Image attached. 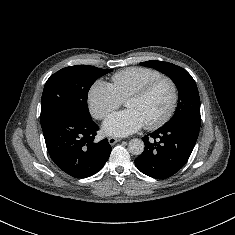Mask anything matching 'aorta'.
I'll return each mask as SVG.
<instances>
[{
    "instance_id": "obj_1",
    "label": "aorta",
    "mask_w": 235,
    "mask_h": 235,
    "mask_svg": "<svg viewBox=\"0 0 235 235\" xmlns=\"http://www.w3.org/2000/svg\"><path fill=\"white\" fill-rule=\"evenodd\" d=\"M144 142L141 139L135 138L129 141L128 149L133 155H141L144 151Z\"/></svg>"
}]
</instances>
